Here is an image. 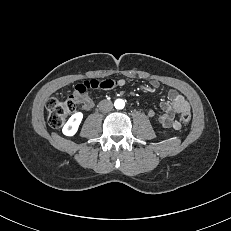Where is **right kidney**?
Masks as SVG:
<instances>
[{
    "mask_svg": "<svg viewBox=\"0 0 231 231\" xmlns=\"http://www.w3.org/2000/svg\"><path fill=\"white\" fill-rule=\"evenodd\" d=\"M82 118L83 114L81 112L73 114L67 121V123L64 125L62 129L63 134L66 136H73L77 132Z\"/></svg>",
    "mask_w": 231,
    "mask_h": 231,
    "instance_id": "right-kidney-1",
    "label": "right kidney"
}]
</instances>
